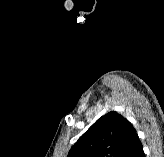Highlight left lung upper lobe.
<instances>
[{
	"mask_svg": "<svg viewBox=\"0 0 164 157\" xmlns=\"http://www.w3.org/2000/svg\"><path fill=\"white\" fill-rule=\"evenodd\" d=\"M135 134L126 118L108 112L78 139L67 157H121Z\"/></svg>",
	"mask_w": 164,
	"mask_h": 157,
	"instance_id": "left-lung-upper-lobe-1",
	"label": "left lung upper lobe"
}]
</instances>
